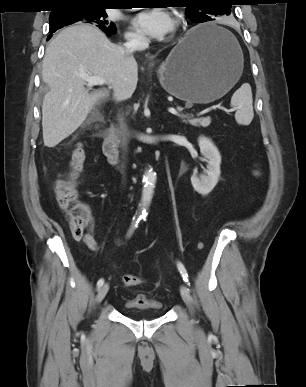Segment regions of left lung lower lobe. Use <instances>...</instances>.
<instances>
[{
	"label": "left lung lower lobe",
	"instance_id": "0a47b994",
	"mask_svg": "<svg viewBox=\"0 0 306 387\" xmlns=\"http://www.w3.org/2000/svg\"><path fill=\"white\" fill-rule=\"evenodd\" d=\"M211 35H213V36H221L222 34L216 33V32H211Z\"/></svg>",
	"mask_w": 306,
	"mask_h": 387
}]
</instances>
